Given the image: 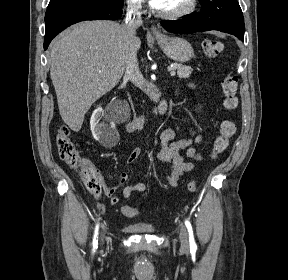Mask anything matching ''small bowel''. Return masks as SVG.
<instances>
[{
  "label": "small bowel",
  "instance_id": "obj_1",
  "mask_svg": "<svg viewBox=\"0 0 288 280\" xmlns=\"http://www.w3.org/2000/svg\"><path fill=\"white\" fill-rule=\"evenodd\" d=\"M177 129L167 128L160 134V149L158 151V160L165 165L169 166V173L167 175V182L169 186L176 187L179 180L189 171H192L195 167V163L202 159L201 154L197 151L198 146L202 138L200 135L190 132V137L175 140ZM184 151L186 156L191 161H185L181 152ZM142 155L140 148H134L127 156V164H132L139 159ZM98 177L103 185L104 193L109 198L110 204L116 206L120 203V198L116 195L118 188L124 186L128 181V174L123 172L119 175L117 183L114 186L107 187L103 184V178L98 172ZM147 191V185L142 182H138L132 185H127L123 188L122 195L124 198H129L133 193H145ZM123 207V206H122ZM121 207V209H122Z\"/></svg>",
  "mask_w": 288,
  "mask_h": 280
}]
</instances>
